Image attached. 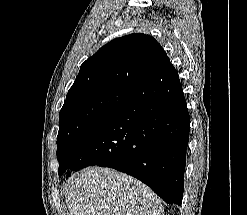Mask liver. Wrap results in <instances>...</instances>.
<instances>
[{
  "instance_id": "obj_1",
  "label": "liver",
  "mask_w": 247,
  "mask_h": 215,
  "mask_svg": "<svg viewBox=\"0 0 247 215\" xmlns=\"http://www.w3.org/2000/svg\"><path fill=\"white\" fill-rule=\"evenodd\" d=\"M65 201L70 215H165L148 186L108 168L74 174L66 182Z\"/></svg>"
}]
</instances>
